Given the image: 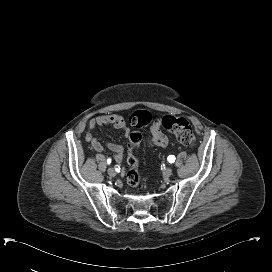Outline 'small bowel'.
<instances>
[{
    "instance_id": "c3829d8e",
    "label": "small bowel",
    "mask_w": 272,
    "mask_h": 272,
    "mask_svg": "<svg viewBox=\"0 0 272 272\" xmlns=\"http://www.w3.org/2000/svg\"><path fill=\"white\" fill-rule=\"evenodd\" d=\"M97 126H112L113 128L120 130L125 133L126 136L130 134V130L127 126L126 120L123 116L117 114H104L97 116L90 120L88 131L85 134V139L90 143L93 150L97 152L110 151L113 153L114 160L119 163L123 159L124 148L113 142H106L103 144L92 134V130ZM151 142L157 146L165 148L169 144L168 137L162 132L160 120H156L150 126ZM136 156V149L129 150ZM137 158V156H136ZM138 164V159H137ZM123 174L127 173L126 168H122Z\"/></svg>"
}]
</instances>
